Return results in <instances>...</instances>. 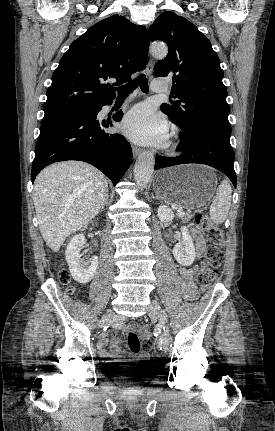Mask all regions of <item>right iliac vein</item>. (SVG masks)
Masks as SVG:
<instances>
[{"instance_id":"right-iliac-vein-1","label":"right iliac vein","mask_w":275,"mask_h":431,"mask_svg":"<svg viewBox=\"0 0 275 431\" xmlns=\"http://www.w3.org/2000/svg\"><path fill=\"white\" fill-rule=\"evenodd\" d=\"M114 317H115L114 310H112V309L107 310L99 322V327H103L105 325V323L112 320Z\"/></svg>"}]
</instances>
